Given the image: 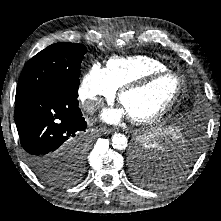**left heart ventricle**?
Returning <instances> with one entry per match:
<instances>
[{"mask_svg":"<svg viewBox=\"0 0 221 221\" xmlns=\"http://www.w3.org/2000/svg\"><path fill=\"white\" fill-rule=\"evenodd\" d=\"M176 87L177 83L174 77H160L144 88L125 93L121 100V107L129 117L152 116L171 100Z\"/></svg>","mask_w":221,"mask_h":221,"instance_id":"left-heart-ventricle-1","label":"left heart ventricle"}]
</instances>
